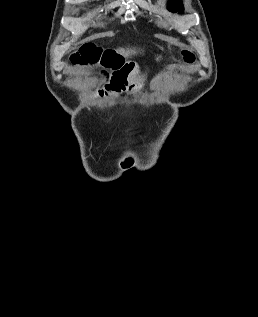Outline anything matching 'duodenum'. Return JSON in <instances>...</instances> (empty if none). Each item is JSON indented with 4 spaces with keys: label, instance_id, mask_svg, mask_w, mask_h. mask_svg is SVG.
Wrapping results in <instances>:
<instances>
[{
    "label": "duodenum",
    "instance_id": "410a0bca",
    "mask_svg": "<svg viewBox=\"0 0 258 317\" xmlns=\"http://www.w3.org/2000/svg\"><path fill=\"white\" fill-rule=\"evenodd\" d=\"M135 77L136 70L134 66H121L112 74L110 80L105 85V91L116 96L120 95L132 87Z\"/></svg>",
    "mask_w": 258,
    "mask_h": 317
}]
</instances>
